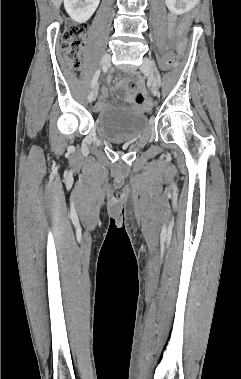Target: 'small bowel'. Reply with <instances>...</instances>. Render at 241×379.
Listing matches in <instances>:
<instances>
[{
    "label": "small bowel",
    "mask_w": 241,
    "mask_h": 379,
    "mask_svg": "<svg viewBox=\"0 0 241 379\" xmlns=\"http://www.w3.org/2000/svg\"><path fill=\"white\" fill-rule=\"evenodd\" d=\"M176 22L175 17L170 16L169 17V23L171 26ZM134 89L137 87V82L134 80L130 81H125L121 80L120 82L117 83L116 89L120 93V95L124 98V100L129 104L130 107L132 108H137V109H144L142 105V98H145V92L144 88L142 86H139L135 90H130L128 89ZM104 95L107 94L106 89L103 91ZM106 106V102L104 100H100L97 102L95 105V110L100 111Z\"/></svg>",
    "instance_id": "c3829d8e"
}]
</instances>
